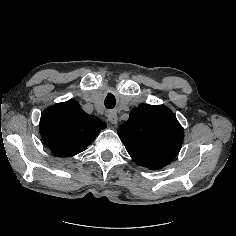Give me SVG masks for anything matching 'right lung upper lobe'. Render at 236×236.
Segmentation results:
<instances>
[{
    "label": "right lung upper lobe",
    "instance_id": "right-lung-upper-lobe-1",
    "mask_svg": "<svg viewBox=\"0 0 236 236\" xmlns=\"http://www.w3.org/2000/svg\"><path fill=\"white\" fill-rule=\"evenodd\" d=\"M106 124L70 100L47 108L40 119L45 144L59 157H72L94 140Z\"/></svg>",
    "mask_w": 236,
    "mask_h": 236
}]
</instances>
